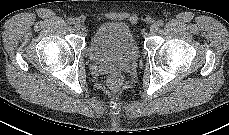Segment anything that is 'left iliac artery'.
<instances>
[{
    "mask_svg": "<svg viewBox=\"0 0 229 135\" xmlns=\"http://www.w3.org/2000/svg\"><path fill=\"white\" fill-rule=\"evenodd\" d=\"M158 25L159 26H163L164 25V21H162V20L158 21Z\"/></svg>",
    "mask_w": 229,
    "mask_h": 135,
    "instance_id": "1",
    "label": "left iliac artery"
}]
</instances>
